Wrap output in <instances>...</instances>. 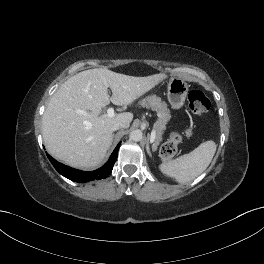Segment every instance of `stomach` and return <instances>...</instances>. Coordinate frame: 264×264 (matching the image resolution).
Wrapping results in <instances>:
<instances>
[{"label": "stomach", "mask_w": 264, "mask_h": 264, "mask_svg": "<svg viewBox=\"0 0 264 264\" xmlns=\"http://www.w3.org/2000/svg\"><path fill=\"white\" fill-rule=\"evenodd\" d=\"M188 94V85L180 77H171L168 80L167 97L172 108L179 109L184 105Z\"/></svg>", "instance_id": "obj_1"}]
</instances>
